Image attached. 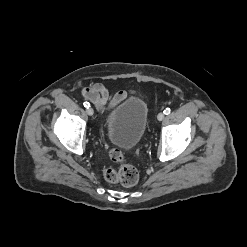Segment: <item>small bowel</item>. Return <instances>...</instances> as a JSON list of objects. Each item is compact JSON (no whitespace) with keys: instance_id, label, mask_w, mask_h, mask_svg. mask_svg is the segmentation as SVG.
I'll list each match as a JSON object with an SVG mask.
<instances>
[{"instance_id":"1","label":"small bowel","mask_w":247,"mask_h":247,"mask_svg":"<svg viewBox=\"0 0 247 247\" xmlns=\"http://www.w3.org/2000/svg\"><path fill=\"white\" fill-rule=\"evenodd\" d=\"M131 91V90H130ZM128 91L120 90L114 95L101 83H93L82 90L83 97L100 111H108L117 106L127 97Z\"/></svg>"}]
</instances>
